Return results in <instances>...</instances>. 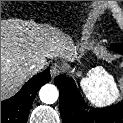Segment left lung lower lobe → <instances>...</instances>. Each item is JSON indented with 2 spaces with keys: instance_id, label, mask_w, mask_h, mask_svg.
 I'll use <instances>...</instances> for the list:
<instances>
[{
  "instance_id": "left-lung-lower-lobe-1",
  "label": "left lung lower lobe",
  "mask_w": 123,
  "mask_h": 123,
  "mask_svg": "<svg viewBox=\"0 0 123 123\" xmlns=\"http://www.w3.org/2000/svg\"><path fill=\"white\" fill-rule=\"evenodd\" d=\"M111 49L123 54V44H112ZM54 83L60 92V111L63 123H123V101L87 112L83 110L86 105L72 78L57 76Z\"/></svg>"
}]
</instances>
